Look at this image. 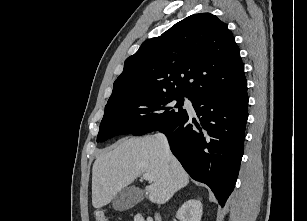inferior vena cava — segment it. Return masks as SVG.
I'll return each mask as SVG.
<instances>
[{
  "mask_svg": "<svg viewBox=\"0 0 307 221\" xmlns=\"http://www.w3.org/2000/svg\"><path fill=\"white\" fill-rule=\"evenodd\" d=\"M156 137H157V139H158L159 141H161V142L163 143V145L165 146V148H166L167 150H169V144H168V141H167V138L165 137V135H163V134H161V133H158V134L156 135Z\"/></svg>",
  "mask_w": 307,
  "mask_h": 221,
  "instance_id": "1",
  "label": "inferior vena cava"
}]
</instances>
